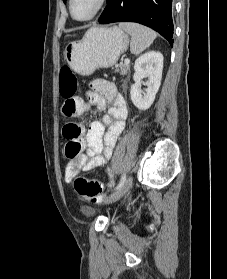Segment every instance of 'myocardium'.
<instances>
[{
  "mask_svg": "<svg viewBox=\"0 0 227 279\" xmlns=\"http://www.w3.org/2000/svg\"><path fill=\"white\" fill-rule=\"evenodd\" d=\"M106 2H107V0H97L95 9L92 11V13L90 15H88L85 18H77L74 16L73 11H72L73 0H69L68 9H69L70 16L72 17L73 20H75L77 22H86V21H90V20L94 19L99 13H101L102 10L106 6Z\"/></svg>",
  "mask_w": 227,
  "mask_h": 279,
  "instance_id": "myocardium-1",
  "label": "myocardium"
}]
</instances>
